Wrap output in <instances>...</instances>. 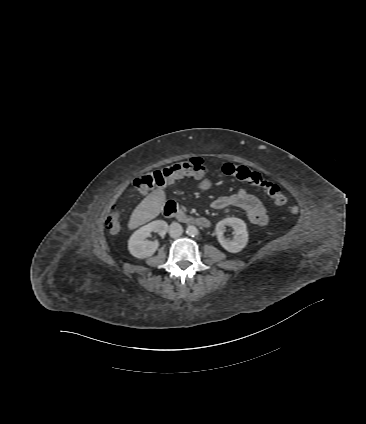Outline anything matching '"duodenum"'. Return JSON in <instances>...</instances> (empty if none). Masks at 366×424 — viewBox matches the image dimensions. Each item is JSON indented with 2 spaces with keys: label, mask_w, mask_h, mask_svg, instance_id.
Listing matches in <instances>:
<instances>
[{
  "label": "duodenum",
  "mask_w": 366,
  "mask_h": 424,
  "mask_svg": "<svg viewBox=\"0 0 366 424\" xmlns=\"http://www.w3.org/2000/svg\"><path fill=\"white\" fill-rule=\"evenodd\" d=\"M163 212L167 218H174L178 221L193 224L202 228H207L210 226V222L207 218L188 216L176 205V203L172 201H169L165 204Z\"/></svg>",
  "instance_id": "1"
}]
</instances>
